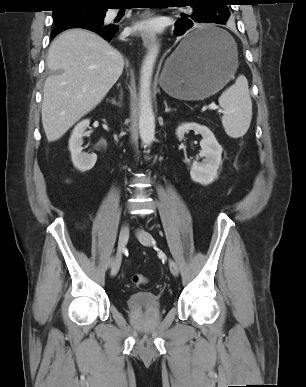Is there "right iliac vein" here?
Wrapping results in <instances>:
<instances>
[{
	"label": "right iliac vein",
	"mask_w": 306,
	"mask_h": 387,
	"mask_svg": "<svg viewBox=\"0 0 306 387\" xmlns=\"http://www.w3.org/2000/svg\"><path fill=\"white\" fill-rule=\"evenodd\" d=\"M128 239H129V228L128 226H122L119 233L117 254L111 268V276H115L120 269L121 262H122V253L125 249Z\"/></svg>",
	"instance_id": "63e3f726"
}]
</instances>
